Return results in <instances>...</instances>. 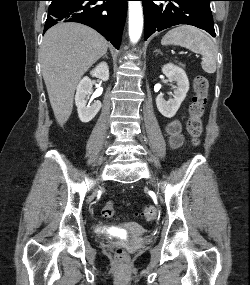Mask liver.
I'll return each instance as SVG.
<instances>
[{
    "instance_id": "6515ba94",
    "label": "liver",
    "mask_w": 250,
    "mask_h": 285,
    "mask_svg": "<svg viewBox=\"0 0 250 285\" xmlns=\"http://www.w3.org/2000/svg\"><path fill=\"white\" fill-rule=\"evenodd\" d=\"M107 49L104 37L78 23H59L45 33L40 62L51 107L60 126L72 113L79 80Z\"/></svg>"
}]
</instances>
